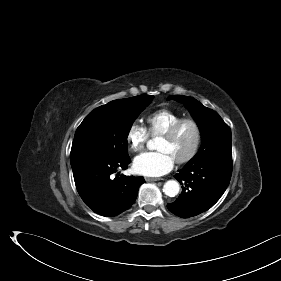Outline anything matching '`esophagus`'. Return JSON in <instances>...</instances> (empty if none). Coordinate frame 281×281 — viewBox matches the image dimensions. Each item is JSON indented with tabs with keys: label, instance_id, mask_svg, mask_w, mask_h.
Wrapping results in <instances>:
<instances>
[{
	"label": "esophagus",
	"instance_id": "1",
	"mask_svg": "<svg viewBox=\"0 0 281 281\" xmlns=\"http://www.w3.org/2000/svg\"><path fill=\"white\" fill-rule=\"evenodd\" d=\"M145 180H146L147 182H154V181H159V180H161V178H150V177H146Z\"/></svg>",
	"mask_w": 281,
	"mask_h": 281
}]
</instances>
